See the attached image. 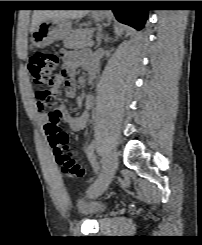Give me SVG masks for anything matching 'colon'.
Listing matches in <instances>:
<instances>
[{
  "label": "colon",
  "mask_w": 202,
  "mask_h": 245,
  "mask_svg": "<svg viewBox=\"0 0 202 245\" xmlns=\"http://www.w3.org/2000/svg\"><path fill=\"white\" fill-rule=\"evenodd\" d=\"M60 59L53 53H35L29 60V72L34 85L41 88L39 100L50 105L59 93V85L68 77L67 71H58ZM60 118L49 112L44 129L51 140L53 154L61 171L68 177L82 178L85 169L77 162L74 153L68 146V135L59 125Z\"/></svg>",
  "instance_id": "5ec220e1"
}]
</instances>
